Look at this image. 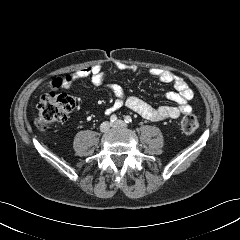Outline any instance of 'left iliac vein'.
Here are the masks:
<instances>
[{
    "label": "left iliac vein",
    "mask_w": 240,
    "mask_h": 240,
    "mask_svg": "<svg viewBox=\"0 0 240 240\" xmlns=\"http://www.w3.org/2000/svg\"><path fill=\"white\" fill-rule=\"evenodd\" d=\"M127 125L122 121V120H118L115 123L112 124V127H121V128H125Z\"/></svg>",
    "instance_id": "left-iliac-vein-1"
}]
</instances>
